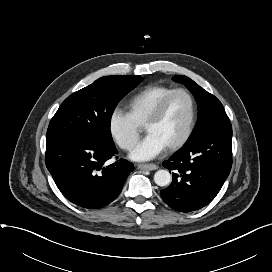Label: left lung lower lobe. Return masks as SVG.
I'll list each match as a JSON object with an SVG mask.
<instances>
[{
    "mask_svg": "<svg viewBox=\"0 0 272 272\" xmlns=\"http://www.w3.org/2000/svg\"><path fill=\"white\" fill-rule=\"evenodd\" d=\"M232 128L206 132L185 143L163 162L173 171L172 183L161 190L164 202L180 212L198 210L220 191L232 166Z\"/></svg>",
    "mask_w": 272,
    "mask_h": 272,
    "instance_id": "left-lung-lower-lobe-1",
    "label": "left lung lower lobe"
}]
</instances>
